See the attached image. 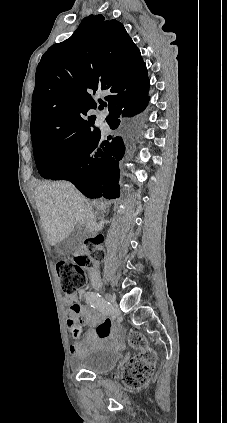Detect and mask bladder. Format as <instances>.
Segmentation results:
<instances>
[{
    "label": "bladder",
    "instance_id": "bladder-1",
    "mask_svg": "<svg viewBox=\"0 0 227 423\" xmlns=\"http://www.w3.org/2000/svg\"><path fill=\"white\" fill-rule=\"evenodd\" d=\"M121 355L117 350L94 349L76 358L75 368L94 375H109L120 363Z\"/></svg>",
    "mask_w": 227,
    "mask_h": 423
}]
</instances>
